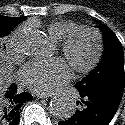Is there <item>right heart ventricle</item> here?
<instances>
[{"label":"right heart ventricle","instance_id":"obj_1","mask_svg":"<svg viewBox=\"0 0 125 125\" xmlns=\"http://www.w3.org/2000/svg\"><path fill=\"white\" fill-rule=\"evenodd\" d=\"M79 25L73 21L58 20L47 26L49 36L56 42H62Z\"/></svg>","mask_w":125,"mask_h":125}]
</instances>
